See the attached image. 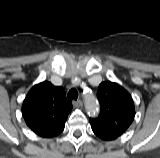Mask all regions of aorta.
I'll return each instance as SVG.
<instances>
[{
    "instance_id": "obj_1",
    "label": "aorta",
    "mask_w": 160,
    "mask_h": 158,
    "mask_svg": "<svg viewBox=\"0 0 160 158\" xmlns=\"http://www.w3.org/2000/svg\"><path fill=\"white\" fill-rule=\"evenodd\" d=\"M85 106L91 116H97L99 114V106L96 98L92 94L85 95Z\"/></svg>"
}]
</instances>
